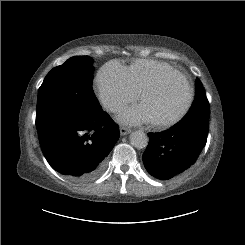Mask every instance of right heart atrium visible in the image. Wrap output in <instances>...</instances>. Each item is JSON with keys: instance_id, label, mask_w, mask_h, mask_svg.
<instances>
[{"instance_id": "d8ad5b80", "label": "right heart atrium", "mask_w": 245, "mask_h": 245, "mask_svg": "<svg viewBox=\"0 0 245 245\" xmlns=\"http://www.w3.org/2000/svg\"><path fill=\"white\" fill-rule=\"evenodd\" d=\"M94 87L103 106L112 113L121 112L139 96L126 67L116 61L108 62L99 69Z\"/></svg>"}]
</instances>
